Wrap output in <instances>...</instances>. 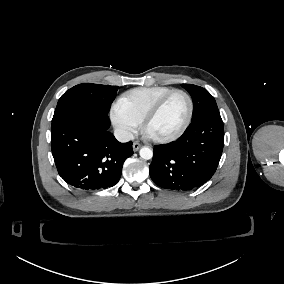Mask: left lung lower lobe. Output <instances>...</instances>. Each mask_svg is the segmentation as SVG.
Listing matches in <instances>:
<instances>
[{"instance_id":"obj_1","label":"left lung lower lobe","mask_w":284,"mask_h":284,"mask_svg":"<svg viewBox=\"0 0 284 284\" xmlns=\"http://www.w3.org/2000/svg\"><path fill=\"white\" fill-rule=\"evenodd\" d=\"M224 146L220 114L193 120L175 142L154 148L150 177L159 187L189 191L207 182L215 173Z\"/></svg>"}]
</instances>
